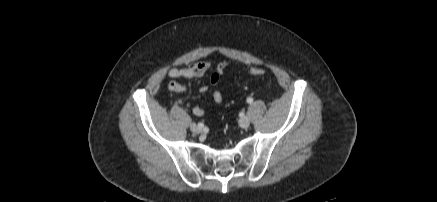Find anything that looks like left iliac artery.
<instances>
[{
  "instance_id": "left-iliac-artery-1",
  "label": "left iliac artery",
  "mask_w": 437,
  "mask_h": 202,
  "mask_svg": "<svg viewBox=\"0 0 437 202\" xmlns=\"http://www.w3.org/2000/svg\"><path fill=\"white\" fill-rule=\"evenodd\" d=\"M247 102H248L249 104H251V103L253 102V99H252L251 97H248V98H247Z\"/></svg>"
}]
</instances>
